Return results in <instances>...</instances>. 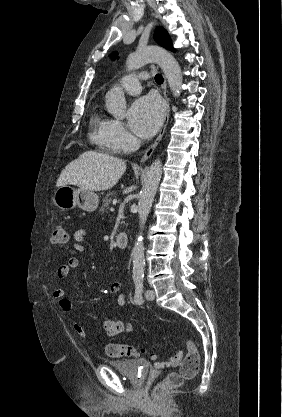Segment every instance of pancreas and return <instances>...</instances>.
Returning a JSON list of instances; mask_svg holds the SVG:
<instances>
[{
    "label": "pancreas",
    "instance_id": "cf45deb5",
    "mask_svg": "<svg viewBox=\"0 0 282 417\" xmlns=\"http://www.w3.org/2000/svg\"><path fill=\"white\" fill-rule=\"evenodd\" d=\"M112 194H115L114 190H112V192H108V194H106L105 198H103V206H101V213L102 211H104V206H109L110 202H111V196Z\"/></svg>",
    "mask_w": 282,
    "mask_h": 417
}]
</instances>
